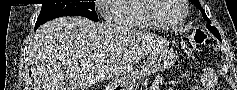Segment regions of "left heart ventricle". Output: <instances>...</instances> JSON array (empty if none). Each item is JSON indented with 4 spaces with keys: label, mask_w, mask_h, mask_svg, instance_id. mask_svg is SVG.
<instances>
[{
    "label": "left heart ventricle",
    "mask_w": 237,
    "mask_h": 90,
    "mask_svg": "<svg viewBox=\"0 0 237 90\" xmlns=\"http://www.w3.org/2000/svg\"><path fill=\"white\" fill-rule=\"evenodd\" d=\"M158 1H176V0H158ZM171 10H161V13H156L158 19L167 26L176 25L182 18V8L180 5H171Z\"/></svg>",
    "instance_id": "obj_1"
}]
</instances>
